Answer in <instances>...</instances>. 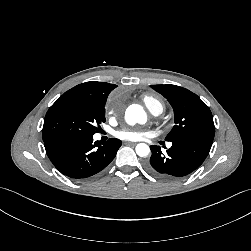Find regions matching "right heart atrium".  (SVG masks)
<instances>
[{
  "label": "right heart atrium",
  "mask_w": 251,
  "mask_h": 251,
  "mask_svg": "<svg viewBox=\"0 0 251 251\" xmlns=\"http://www.w3.org/2000/svg\"><path fill=\"white\" fill-rule=\"evenodd\" d=\"M107 112H108V114H110V115L115 114V112H116L115 106H114V105H109V106L107 107Z\"/></svg>",
  "instance_id": "obj_1"
}]
</instances>
